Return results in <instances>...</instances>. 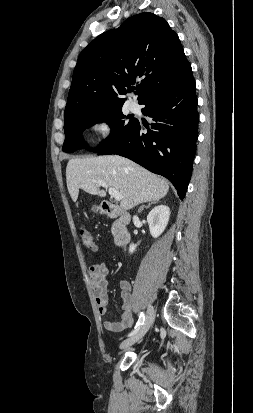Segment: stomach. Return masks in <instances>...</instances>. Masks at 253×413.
<instances>
[{
  "instance_id": "0dacf381",
  "label": "stomach",
  "mask_w": 253,
  "mask_h": 413,
  "mask_svg": "<svg viewBox=\"0 0 253 413\" xmlns=\"http://www.w3.org/2000/svg\"><path fill=\"white\" fill-rule=\"evenodd\" d=\"M100 208L99 207H93L92 210L98 211Z\"/></svg>"
}]
</instances>
